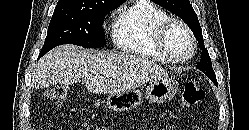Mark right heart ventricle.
I'll list each match as a JSON object with an SVG mask.
<instances>
[{"label": "right heart ventricle", "instance_id": "right-heart-ventricle-1", "mask_svg": "<svg viewBox=\"0 0 249 130\" xmlns=\"http://www.w3.org/2000/svg\"><path fill=\"white\" fill-rule=\"evenodd\" d=\"M168 17L163 9L150 0H135L117 16L112 40L124 53L166 62L156 47L155 32Z\"/></svg>", "mask_w": 249, "mask_h": 130}]
</instances>
